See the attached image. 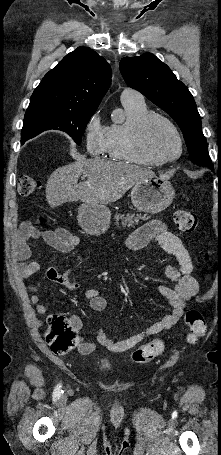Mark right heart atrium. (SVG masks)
Returning a JSON list of instances; mask_svg holds the SVG:
<instances>
[{
  "instance_id": "d8ad5b80",
  "label": "right heart atrium",
  "mask_w": 221,
  "mask_h": 455,
  "mask_svg": "<svg viewBox=\"0 0 221 455\" xmlns=\"http://www.w3.org/2000/svg\"><path fill=\"white\" fill-rule=\"evenodd\" d=\"M108 126H106L97 111L91 115L84 127V141L86 149L93 155L105 152Z\"/></svg>"
}]
</instances>
